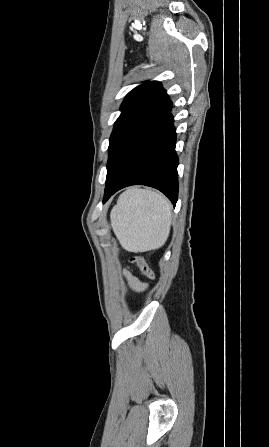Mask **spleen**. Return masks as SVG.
<instances>
[{"instance_id": "obj_1", "label": "spleen", "mask_w": 269, "mask_h": 447, "mask_svg": "<svg viewBox=\"0 0 269 447\" xmlns=\"http://www.w3.org/2000/svg\"><path fill=\"white\" fill-rule=\"evenodd\" d=\"M171 210L163 194L127 188L111 210V225L124 249L150 251L164 245L170 233Z\"/></svg>"}]
</instances>
